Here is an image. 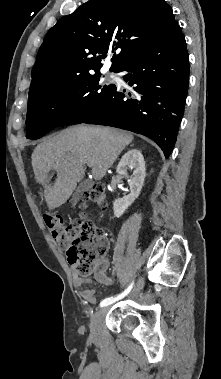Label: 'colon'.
<instances>
[{"label": "colon", "mask_w": 221, "mask_h": 379, "mask_svg": "<svg viewBox=\"0 0 221 379\" xmlns=\"http://www.w3.org/2000/svg\"><path fill=\"white\" fill-rule=\"evenodd\" d=\"M82 197L83 201H92L102 208L106 204L105 189L99 184L93 185ZM44 222L54 240L67 249L68 261L75 272L79 276L92 274L107 252L103 231L85 217L65 225L60 216L44 215Z\"/></svg>", "instance_id": "1"}]
</instances>
